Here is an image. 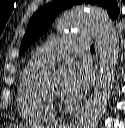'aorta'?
I'll list each match as a JSON object with an SVG mask.
<instances>
[{
    "label": "aorta",
    "instance_id": "obj_1",
    "mask_svg": "<svg viewBox=\"0 0 125 128\" xmlns=\"http://www.w3.org/2000/svg\"><path fill=\"white\" fill-rule=\"evenodd\" d=\"M64 31H87L95 39L100 51V73L98 82L87 104L78 115L73 128H96L106 111L111 95L119 52V37L107 12L90 5L73 7L59 21ZM53 76L45 73L41 84L51 86Z\"/></svg>",
    "mask_w": 125,
    "mask_h": 128
}]
</instances>
